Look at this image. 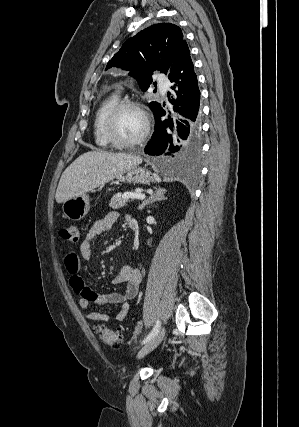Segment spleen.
<instances>
[{
    "label": "spleen",
    "instance_id": "3e777b00",
    "mask_svg": "<svg viewBox=\"0 0 299 427\" xmlns=\"http://www.w3.org/2000/svg\"><path fill=\"white\" fill-rule=\"evenodd\" d=\"M155 178H156L157 181H160L159 176H157L156 174H155Z\"/></svg>",
    "mask_w": 299,
    "mask_h": 427
}]
</instances>
